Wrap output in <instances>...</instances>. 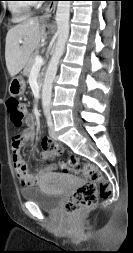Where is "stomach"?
Returning a JSON list of instances; mask_svg holds the SVG:
<instances>
[{"label":"stomach","instance_id":"1","mask_svg":"<svg viewBox=\"0 0 133 253\" xmlns=\"http://www.w3.org/2000/svg\"><path fill=\"white\" fill-rule=\"evenodd\" d=\"M25 91V81L22 76L14 77L9 85V92L13 96L22 95Z\"/></svg>","mask_w":133,"mask_h":253}]
</instances>
